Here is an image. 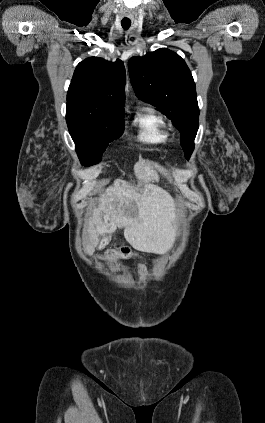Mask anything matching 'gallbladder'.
I'll list each match as a JSON object with an SVG mask.
<instances>
[{"instance_id":"gallbladder-1","label":"gallbladder","mask_w":265,"mask_h":423,"mask_svg":"<svg viewBox=\"0 0 265 423\" xmlns=\"http://www.w3.org/2000/svg\"><path fill=\"white\" fill-rule=\"evenodd\" d=\"M110 236L109 237H106V238H104L103 240H102V242H101V244H100V246H101V248H104L106 245H108L109 244V242H110Z\"/></svg>"}]
</instances>
